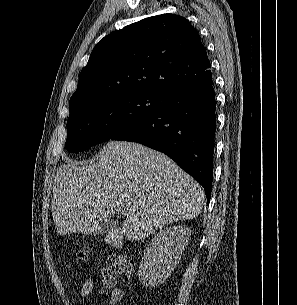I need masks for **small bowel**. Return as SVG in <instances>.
I'll return each mask as SVG.
<instances>
[{
    "instance_id": "c3829d8e",
    "label": "small bowel",
    "mask_w": 297,
    "mask_h": 305,
    "mask_svg": "<svg viewBox=\"0 0 297 305\" xmlns=\"http://www.w3.org/2000/svg\"><path fill=\"white\" fill-rule=\"evenodd\" d=\"M80 294L83 300L108 295V305H117L124 298V291L116 286V278L109 269L102 271V283L99 287H95L89 278L83 283Z\"/></svg>"
}]
</instances>
